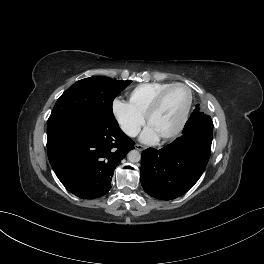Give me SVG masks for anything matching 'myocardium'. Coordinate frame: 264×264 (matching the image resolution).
<instances>
[{"label": "myocardium", "mask_w": 264, "mask_h": 264, "mask_svg": "<svg viewBox=\"0 0 264 264\" xmlns=\"http://www.w3.org/2000/svg\"><path fill=\"white\" fill-rule=\"evenodd\" d=\"M175 87H182L184 89H186L187 93H188V98H187V102L185 104V107L183 109V112L180 116V119L178 121V123L176 124V126L170 130L169 132L163 134L160 136L161 139H170L175 137L177 134H179V132L183 129L187 119H188V115H189V111L191 108V104H192V91L190 89L189 86H187L184 83H180V82H176V83H171L168 86H166L165 88H163L153 99V101L151 102V104L149 105L148 109L145 112V121L146 123L149 125L150 119L152 117V115L158 110V108L160 107L163 98L165 97V95L167 94V92L169 90H171L172 88Z\"/></svg>", "instance_id": "f54148a6"}]
</instances>
